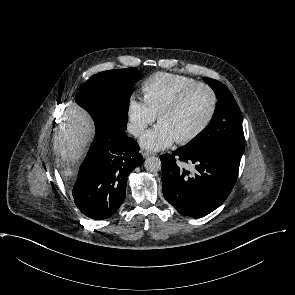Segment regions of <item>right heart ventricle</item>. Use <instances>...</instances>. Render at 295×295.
Instances as JSON below:
<instances>
[{
  "label": "right heart ventricle",
  "instance_id": "1",
  "mask_svg": "<svg viewBox=\"0 0 295 295\" xmlns=\"http://www.w3.org/2000/svg\"><path fill=\"white\" fill-rule=\"evenodd\" d=\"M197 81L193 78L159 72L149 76L142 85L144 98L159 115L184 89Z\"/></svg>",
  "mask_w": 295,
  "mask_h": 295
}]
</instances>
